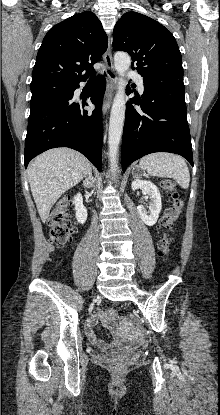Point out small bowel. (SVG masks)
<instances>
[{
	"mask_svg": "<svg viewBox=\"0 0 220 415\" xmlns=\"http://www.w3.org/2000/svg\"><path fill=\"white\" fill-rule=\"evenodd\" d=\"M99 321H102L107 327H110V324L106 321V318L103 312H99L96 316H92L87 320V323L85 325V333H86L88 340L93 345H96L104 350H107L109 349L110 344L118 343V341L114 339H110L106 341L98 337V335L96 334L95 328Z\"/></svg>",
	"mask_w": 220,
	"mask_h": 415,
	"instance_id": "obj_1",
	"label": "small bowel"
}]
</instances>
